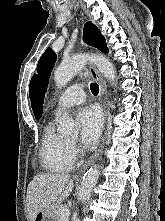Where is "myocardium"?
<instances>
[{
    "instance_id": "obj_1",
    "label": "myocardium",
    "mask_w": 165,
    "mask_h": 221,
    "mask_svg": "<svg viewBox=\"0 0 165 221\" xmlns=\"http://www.w3.org/2000/svg\"><path fill=\"white\" fill-rule=\"evenodd\" d=\"M69 143H70V145H71V146L74 144V142H73V141H70Z\"/></svg>"
}]
</instances>
